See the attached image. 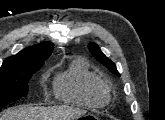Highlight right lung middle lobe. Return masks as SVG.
Returning <instances> with one entry per match:
<instances>
[{
    "label": "right lung middle lobe",
    "instance_id": "dd1d6c3e",
    "mask_svg": "<svg viewBox=\"0 0 165 120\" xmlns=\"http://www.w3.org/2000/svg\"><path fill=\"white\" fill-rule=\"evenodd\" d=\"M43 61L2 65L0 68V111L28 93V81L43 66Z\"/></svg>",
    "mask_w": 165,
    "mask_h": 120
}]
</instances>
